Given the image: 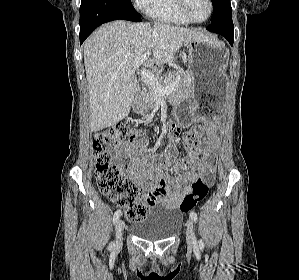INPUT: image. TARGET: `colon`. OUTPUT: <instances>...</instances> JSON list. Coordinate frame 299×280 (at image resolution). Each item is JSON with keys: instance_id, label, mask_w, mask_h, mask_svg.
I'll use <instances>...</instances> for the list:
<instances>
[{"instance_id": "obj_1", "label": "colon", "mask_w": 299, "mask_h": 280, "mask_svg": "<svg viewBox=\"0 0 299 280\" xmlns=\"http://www.w3.org/2000/svg\"><path fill=\"white\" fill-rule=\"evenodd\" d=\"M199 125H190L184 131L185 146L188 156L182 158L171 157L164 161L175 173H183L192 167V158L197 154ZM174 137L178 132L171 133ZM137 131L126 125H118L98 132L93 142L95 155V172L99 190L118 207L122 208L126 219L130 222L142 220L148 213V196L142 187L127 174L126 164L114 159L111 148L120 144L139 139ZM211 183L202 178L196 180L191 191L183 198L180 209L182 212L193 210L203 201L210 189Z\"/></svg>"}]
</instances>
